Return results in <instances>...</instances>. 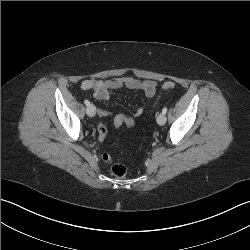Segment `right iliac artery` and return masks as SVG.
Returning <instances> with one entry per match:
<instances>
[{"mask_svg": "<svg viewBox=\"0 0 250 250\" xmlns=\"http://www.w3.org/2000/svg\"><path fill=\"white\" fill-rule=\"evenodd\" d=\"M84 103H85L86 106L90 105V102L88 100H85Z\"/></svg>", "mask_w": 250, "mask_h": 250, "instance_id": "1", "label": "right iliac artery"}]
</instances>
